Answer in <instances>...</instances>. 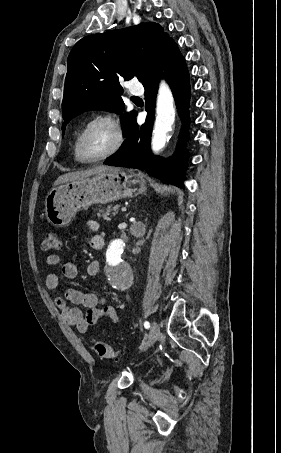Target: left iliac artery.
Wrapping results in <instances>:
<instances>
[{"label":"left iliac artery","instance_id":"obj_1","mask_svg":"<svg viewBox=\"0 0 281 453\" xmlns=\"http://www.w3.org/2000/svg\"><path fill=\"white\" fill-rule=\"evenodd\" d=\"M144 326H145L146 329H148V328H150V323L146 321V322L144 323Z\"/></svg>","mask_w":281,"mask_h":453}]
</instances>
